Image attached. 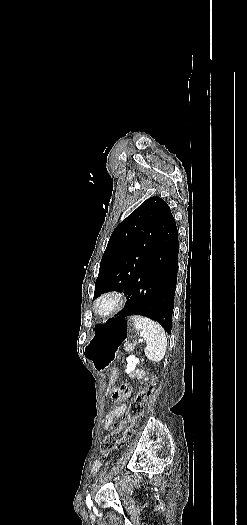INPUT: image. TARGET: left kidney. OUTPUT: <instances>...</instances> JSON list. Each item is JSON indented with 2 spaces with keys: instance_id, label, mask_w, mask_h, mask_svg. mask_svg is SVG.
Segmentation results:
<instances>
[{
  "instance_id": "1",
  "label": "left kidney",
  "mask_w": 247,
  "mask_h": 525,
  "mask_svg": "<svg viewBox=\"0 0 247 525\" xmlns=\"http://www.w3.org/2000/svg\"><path fill=\"white\" fill-rule=\"evenodd\" d=\"M127 367H126V373H131V371H134L136 369V365L139 363V359H136L134 355H130V357H127Z\"/></svg>"
}]
</instances>
